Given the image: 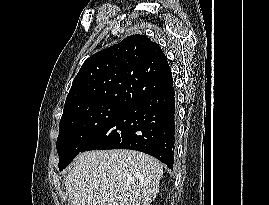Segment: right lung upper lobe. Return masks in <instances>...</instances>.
I'll list each match as a JSON object with an SVG mask.
<instances>
[{"instance_id": "right-lung-upper-lobe-1", "label": "right lung upper lobe", "mask_w": 269, "mask_h": 205, "mask_svg": "<svg viewBox=\"0 0 269 205\" xmlns=\"http://www.w3.org/2000/svg\"><path fill=\"white\" fill-rule=\"evenodd\" d=\"M172 86V73L160 46L145 35H132L84 62L73 80L62 117L97 103L131 105Z\"/></svg>"}]
</instances>
